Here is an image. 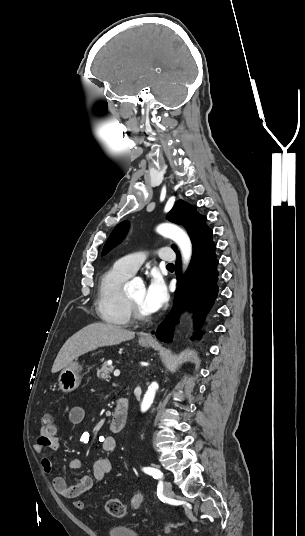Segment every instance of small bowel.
<instances>
[{
    "mask_svg": "<svg viewBox=\"0 0 305 536\" xmlns=\"http://www.w3.org/2000/svg\"><path fill=\"white\" fill-rule=\"evenodd\" d=\"M85 409L81 406H74L69 410L68 419L72 424H80L85 419ZM99 447L107 453H112L116 449V440L111 436H102L97 439ZM61 440L58 436L57 426L53 423L52 427H40L39 435L34 444V450L40 455L41 467L46 473H51L53 464L46 455L45 450H59ZM86 462L82 459H71L68 462V469L76 471L84 467ZM92 475H83L77 484L68 485L66 480L61 476L53 478V488L60 496L66 499L67 495H79L89 490L94 481H101L112 471V462L108 458L99 457L91 463Z\"/></svg>",
    "mask_w": 305,
    "mask_h": 536,
    "instance_id": "obj_1",
    "label": "small bowel"
}]
</instances>
